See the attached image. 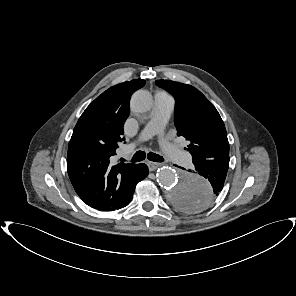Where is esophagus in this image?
<instances>
[{
  "label": "esophagus",
  "mask_w": 296,
  "mask_h": 296,
  "mask_svg": "<svg viewBox=\"0 0 296 296\" xmlns=\"http://www.w3.org/2000/svg\"><path fill=\"white\" fill-rule=\"evenodd\" d=\"M147 166H148V168H149L150 171H154L159 166H161V164L160 163L151 162V161H147Z\"/></svg>",
  "instance_id": "34e87169"
}]
</instances>
